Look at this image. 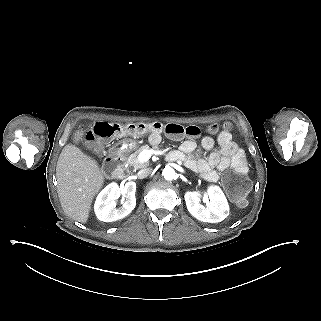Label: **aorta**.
Wrapping results in <instances>:
<instances>
[{"instance_id":"762f6f07","label":"aorta","mask_w":321,"mask_h":321,"mask_svg":"<svg viewBox=\"0 0 321 321\" xmlns=\"http://www.w3.org/2000/svg\"><path fill=\"white\" fill-rule=\"evenodd\" d=\"M164 178L166 180H173L176 176L175 174V170L170 167V166H166L164 169H163V172H162Z\"/></svg>"}]
</instances>
